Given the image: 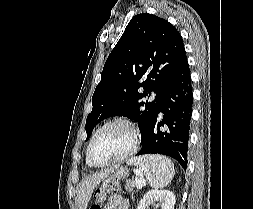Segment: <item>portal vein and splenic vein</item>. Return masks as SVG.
Wrapping results in <instances>:
<instances>
[{"label": "portal vein and splenic vein", "mask_w": 253, "mask_h": 209, "mask_svg": "<svg viewBox=\"0 0 253 209\" xmlns=\"http://www.w3.org/2000/svg\"><path fill=\"white\" fill-rule=\"evenodd\" d=\"M135 182H136L137 188H139V189L142 188V185H143V183H144V181H143L142 178L136 177V178H135Z\"/></svg>", "instance_id": "1"}]
</instances>
